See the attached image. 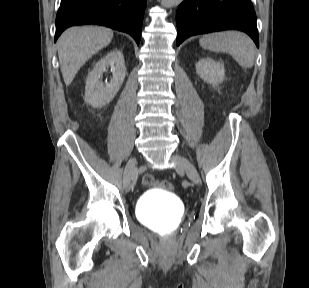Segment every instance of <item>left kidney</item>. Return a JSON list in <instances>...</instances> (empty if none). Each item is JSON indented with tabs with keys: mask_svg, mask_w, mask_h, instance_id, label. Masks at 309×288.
<instances>
[{
	"mask_svg": "<svg viewBox=\"0 0 309 288\" xmlns=\"http://www.w3.org/2000/svg\"><path fill=\"white\" fill-rule=\"evenodd\" d=\"M196 73L207 83L217 85L224 80V63L211 58H201L196 63Z\"/></svg>",
	"mask_w": 309,
	"mask_h": 288,
	"instance_id": "1",
	"label": "left kidney"
}]
</instances>
